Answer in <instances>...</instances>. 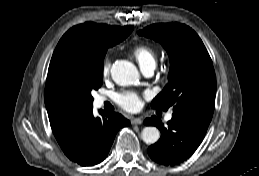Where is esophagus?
Instances as JSON below:
<instances>
[{"instance_id": "esophagus-1", "label": "esophagus", "mask_w": 259, "mask_h": 176, "mask_svg": "<svg viewBox=\"0 0 259 176\" xmlns=\"http://www.w3.org/2000/svg\"><path fill=\"white\" fill-rule=\"evenodd\" d=\"M131 124L132 125H140V124H142V119L139 118V117H133L131 119Z\"/></svg>"}]
</instances>
